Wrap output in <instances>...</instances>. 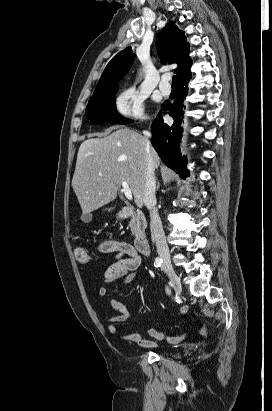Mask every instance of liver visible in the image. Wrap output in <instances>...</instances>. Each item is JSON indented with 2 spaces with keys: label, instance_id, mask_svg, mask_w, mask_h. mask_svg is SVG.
<instances>
[{
  "label": "liver",
  "instance_id": "6515ba94",
  "mask_svg": "<svg viewBox=\"0 0 272 411\" xmlns=\"http://www.w3.org/2000/svg\"><path fill=\"white\" fill-rule=\"evenodd\" d=\"M150 155L155 167L160 159L154 148ZM148 151L146 139L129 128L104 138H90L79 147L72 187L83 214L113 201L126 181L138 207L143 206Z\"/></svg>",
  "mask_w": 272,
  "mask_h": 411
}]
</instances>
